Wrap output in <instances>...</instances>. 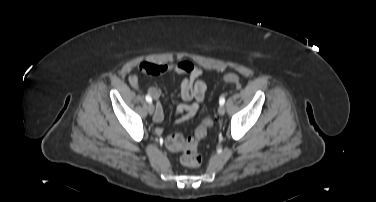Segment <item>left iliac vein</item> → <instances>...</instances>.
Here are the masks:
<instances>
[{
    "label": "left iliac vein",
    "instance_id": "left-iliac-vein-1",
    "mask_svg": "<svg viewBox=\"0 0 376 202\" xmlns=\"http://www.w3.org/2000/svg\"><path fill=\"white\" fill-rule=\"evenodd\" d=\"M218 113L220 115H224L225 114V107L223 105H220L219 108H218Z\"/></svg>",
    "mask_w": 376,
    "mask_h": 202
}]
</instances>
